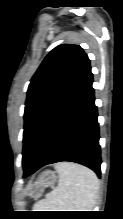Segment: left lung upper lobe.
Returning <instances> with one entry per match:
<instances>
[{"label":"left lung upper lobe","instance_id":"obj_1","mask_svg":"<svg viewBox=\"0 0 123 219\" xmlns=\"http://www.w3.org/2000/svg\"><path fill=\"white\" fill-rule=\"evenodd\" d=\"M90 70V60L78 45H60L43 60L32 77L27 92L23 167L28 163L53 113Z\"/></svg>","mask_w":123,"mask_h":219}]
</instances>
